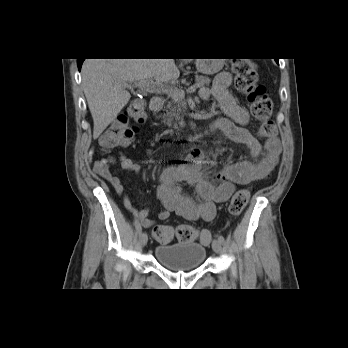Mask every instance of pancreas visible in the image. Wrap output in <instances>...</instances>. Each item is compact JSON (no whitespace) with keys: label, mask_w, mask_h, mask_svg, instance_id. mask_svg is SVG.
Instances as JSON below:
<instances>
[{"label":"pancreas","mask_w":348,"mask_h":348,"mask_svg":"<svg viewBox=\"0 0 348 348\" xmlns=\"http://www.w3.org/2000/svg\"><path fill=\"white\" fill-rule=\"evenodd\" d=\"M195 81V87L202 88L209 86L211 79L206 76L196 75ZM170 98L165 109L166 113L163 115V122L169 127L173 126L174 129L183 128L185 126L181 106L183 99L175 101L173 97L170 96Z\"/></svg>","instance_id":"cf45deb5"}]
</instances>
